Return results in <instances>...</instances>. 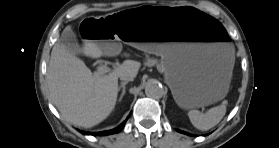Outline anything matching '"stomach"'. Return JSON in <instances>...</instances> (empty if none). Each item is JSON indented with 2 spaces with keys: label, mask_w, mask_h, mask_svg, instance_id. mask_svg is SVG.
<instances>
[{
  "label": "stomach",
  "mask_w": 279,
  "mask_h": 148,
  "mask_svg": "<svg viewBox=\"0 0 279 148\" xmlns=\"http://www.w3.org/2000/svg\"><path fill=\"white\" fill-rule=\"evenodd\" d=\"M88 47L120 52L126 43L161 56L165 81L183 109L225 97L236 57L228 30L190 6H145L91 15L80 24Z\"/></svg>",
  "instance_id": "0dacf381"
}]
</instances>
